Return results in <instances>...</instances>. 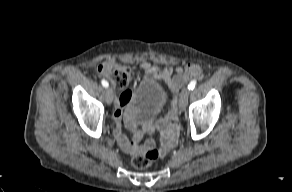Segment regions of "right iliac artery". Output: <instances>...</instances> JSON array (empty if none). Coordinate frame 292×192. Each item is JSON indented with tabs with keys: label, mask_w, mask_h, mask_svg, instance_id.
<instances>
[{
	"label": "right iliac artery",
	"mask_w": 292,
	"mask_h": 192,
	"mask_svg": "<svg viewBox=\"0 0 292 192\" xmlns=\"http://www.w3.org/2000/svg\"><path fill=\"white\" fill-rule=\"evenodd\" d=\"M101 84L103 85V87L107 88L109 86L108 82L106 80H102Z\"/></svg>",
	"instance_id": "82829eb1"
}]
</instances>
